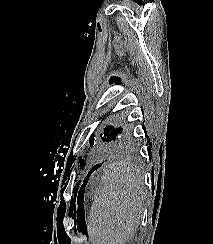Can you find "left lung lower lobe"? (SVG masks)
<instances>
[{
	"mask_svg": "<svg viewBox=\"0 0 213 244\" xmlns=\"http://www.w3.org/2000/svg\"><path fill=\"white\" fill-rule=\"evenodd\" d=\"M103 163H100V164H96L88 173V175L86 176V178L84 179L83 183H82V186H81V190L84 189V187L86 186L87 182H88V179L91 175V173L96 170L97 168H99Z\"/></svg>",
	"mask_w": 213,
	"mask_h": 244,
	"instance_id": "left-lung-lower-lobe-1",
	"label": "left lung lower lobe"
}]
</instances>
